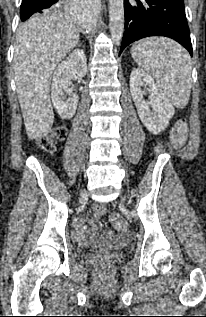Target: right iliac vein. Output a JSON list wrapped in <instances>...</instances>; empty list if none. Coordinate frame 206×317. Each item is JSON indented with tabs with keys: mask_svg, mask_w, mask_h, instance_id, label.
<instances>
[{
	"mask_svg": "<svg viewBox=\"0 0 206 317\" xmlns=\"http://www.w3.org/2000/svg\"><path fill=\"white\" fill-rule=\"evenodd\" d=\"M86 191L85 190H82V192H81V198H86Z\"/></svg>",
	"mask_w": 206,
	"mask_h": 317,
	"instance_id": "63e3f726",
	"label": "right iliac vein"
}]
</instances>
